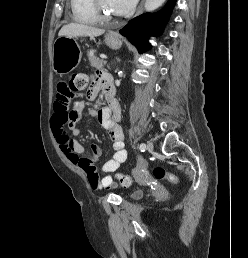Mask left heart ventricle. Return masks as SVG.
Returning <instances> with one entry per match:
<instances>
[{
	"label": "left heart ventricle",
	"instance_id": "1",
	"mask_svg": "<svg viewBox=\"0 0 248 258\" xmlns=\"http://www.w3.org/2000/svg\"><path fill=\"white\" fill-rule=\"evenodd\" d=\"M101 5L103 9L106 11V13L113 16V11L110 9L108 0H101Z\"/></svg>",
	"mask_w": 248,
	"mask_h": 258
}]
</instances>
